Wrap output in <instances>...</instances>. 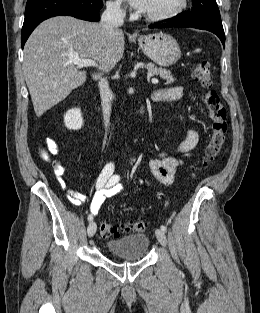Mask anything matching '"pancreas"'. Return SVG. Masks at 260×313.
<instances>
[{"instance_id": "1", "label": "pancreas", "mask_w": 260, "mask_h": 313, "mask_svg": "<svg viewBox=\"0 0 260 313\" xmlns=\"http://www.w3.org/2000/svg\"><path fill=\"white\" fill-rule=\"evenodd\" d=\"M146 69L148 71V75H159L162 79L166 81V84H171L175 81V78L170 71L164 68H158L152 63H148L146 65Z\"/></svg>"}]
</instances>
